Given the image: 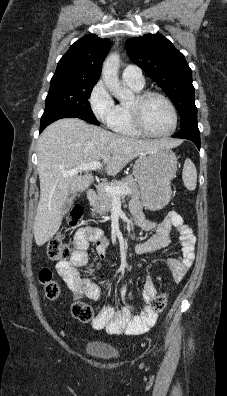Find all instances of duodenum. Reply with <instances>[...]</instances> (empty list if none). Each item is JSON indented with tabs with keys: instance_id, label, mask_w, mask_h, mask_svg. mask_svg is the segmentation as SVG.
I'll return each mask as SVG.
<instances>
[{
	"instance_id": "duodenum-1",
	"label": "duodenum",
	"mask_w": 227,
	"mask_h": 396,
	"mask_svg": "<svg viewBox=\"0 0 227 396\" xmlns=\"http://www.w3.org/2000/svg\"><path fill=\"white\" fill-rule=\"evenodd\" d=\"M88 201L90 204H93L97 200V194L93 189H90L87 193Z\"/></svg>"
}]
</instances>
